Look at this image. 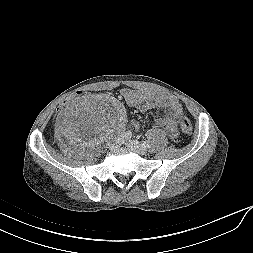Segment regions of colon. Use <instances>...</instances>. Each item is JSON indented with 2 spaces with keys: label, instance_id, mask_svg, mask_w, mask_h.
<instances>
[{
  "label": "colon",
  "instance_id": "5ec220e1",
  "mask_svg": "<svg viewBox=\"0 0 253 253\" xmlns=\"http://www.w3.org/2000/svg\"><path fill=\"white\" fill-rule=\"evenodd\" d=\"M96 91L94 89H84L74 92L73 94L68 95L64 101L58 106V111L63 113L65 110L69 109L74 101L80 98L94 97ZM180 128L183 133L190 134L193 130L191 122L187 118H183L180 121Z\"/></svg>",
  "mask_w": 253,
  "mask_h": 253
}]
</instances>
